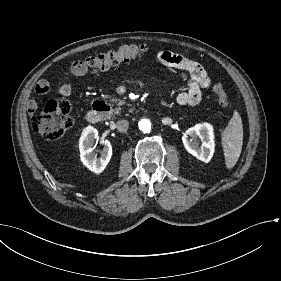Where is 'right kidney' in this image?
<instances>
[{
	"label": "right kidney",
	"mask_w": 281,
	"mask_h": 281,
	"mask_svg": "<svg viewBox=\"0 0 281 281\" xmlns=\"http://www.w3.org/2000/svg\"><path fill=\"white\" fill-rule=\"evenodd\" d=\"M98 137V130L87 126L82 130L79 139L80 159L82 163L92 172L101 173L109 163L112 156V146L108 140L104 141L101 157L97 158L93 152L94 140Z\"/></svg>",
	"instance_id": "obj_1"
}]
</instances>
